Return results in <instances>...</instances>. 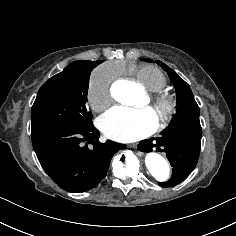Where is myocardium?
I'll list each match as a JSON object with an SVG mask.
<instances>
[{"instance_id":"obj_1","label":"myocardium","mask_w":236,"mask_h":236,"mask_svg":"<svg viewBox=\"0 0 236 236\" xmlns=\"http://www.w3.org/2000/svg\"><path fill=\"white\" fill-rule=\"evenodd\" d=\"M149 108L155 113L154 130L162 131L167 129L174 120L178 110V103L172 94L160 91L151 97Z\"/></svg>"}]
</instances>
